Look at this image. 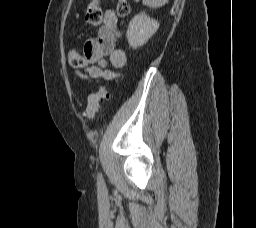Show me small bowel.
<instances>
[{
	"label": "small bowel",
	"instance_id": "1",
	"mask_svg": "<svg viewBox=\"0 0 256 228\" xmlns=\"http://www.w3.org/2000/svg\"><path fill=\"white\" fill-rule=\"evenodd\" d=\"M117 23L115 12L107 10L98 37L88 40L85 44L84 54L90 66L85 68L83 77L93 81L119 77V73L107 69L108 65L121 68L127 60L125 51L116 47V42L121 38Z\"/></svg>",
	"mask_w": 256,
	"mask_h": 228
}]
</instances>
